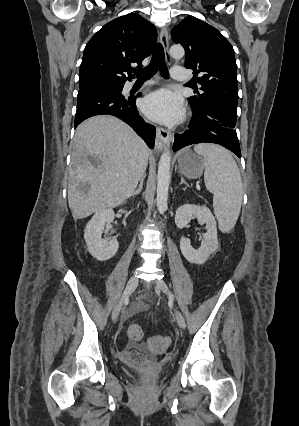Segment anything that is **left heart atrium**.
<instances>
[{"label": "left heart atrium", "instance_id": "left-heart-atrium-1", "mask_svg": "<svg viewBox=\"0 0 299 426\" xmlns=\"http://www.w3.org/2000/svg\"><path fill=\"white\" fill-rule=\"evenodd\" d=\"M143 111L150 119L166 125L179 123L184 117L182 99L167 89L149 94L143 101Z\"/></svg>", "mask_w": 299, "mask_h": 426}]
</instances>
